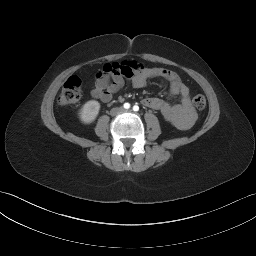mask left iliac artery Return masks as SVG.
Masks as SVG:
<instances>
[{
	"label": "left iliac artery",
	"mask_w": 256,
	"mask_h": 256,
	"mask_svg": "<svg viewBox=\"0 0 256 256\" xmlns=\"http://www.w3.org/2000/svg\"><path fill=\"white\" fill-rule=\"evenodd\" d=\"M133 110H134V111H138V110H139V106H138V105H134V106H133Z\"/></svg>",
	"instance_id": "1"
}]
</instances>
